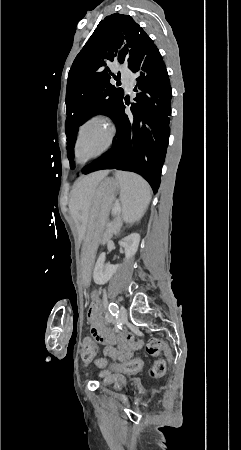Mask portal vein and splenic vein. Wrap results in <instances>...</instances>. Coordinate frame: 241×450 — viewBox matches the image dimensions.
Returning <instances> with one entry per match:
<instances>
[{
	"label": "portal vein and splenic vein",
	"instance_id": "portal-vein-and-splenic-vein-1",
	"mask_svg": "<svg viewBox=\"0 0 241 450\" xmlns=\"http://www.w3.org/2000/svg\"><path fill=\"white\" fill-rule=\"evenodd\" d=\"M121 205H122V204H121ZM121 205H120L119 202H117V201L114 202L112 212H113V213H116V214L122 213Z\"/></svg>",
	"mask_w": 241,
	"mask_h": 450
}]
</instances>
